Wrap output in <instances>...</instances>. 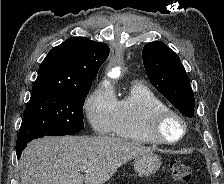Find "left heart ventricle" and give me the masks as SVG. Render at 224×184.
I'll use <instances>...</instances> for the list:
<instances>
[{"mask_svg": "<svg viewBox=\"0 0 224 184\" xmlns=\"http://www.w3.org/2000/svg\"><path fill=\"white\" fill-rule=\"evenodd\" d=\"M165 135L169 138H176L181 134V126L175 120H169L163 126Z\"/></svg>", "mask_w": 224, "mask_h": 184, "instance_id": "left-heart-ventricle-1", "label": "left heart ventricle"}]
</instances>
